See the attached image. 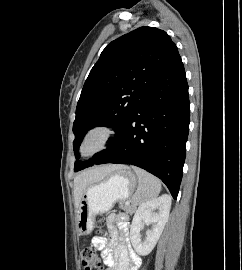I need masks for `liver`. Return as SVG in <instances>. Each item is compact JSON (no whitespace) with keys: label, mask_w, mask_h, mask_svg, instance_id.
I'll return each mask as SVG.
<instances>
[{"label":"liver","mask_w":242,"mask_h":270,"mask_svg":"<svg viewBox=\"0 0 242 270\" xmlns=\"http://www.w3.org/2000/svg\"><path fill=\"white\" fill-rule=\"evenodd\" d=\"M121 167V165H105L78 174L74 178L75 206H79L83 193L88 186L103 180L110 173Z\"/></svg>","instance_id":"6515ba94"}]
</instances>
